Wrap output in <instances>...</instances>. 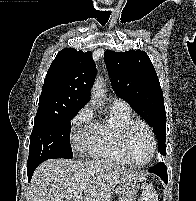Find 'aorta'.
<instances>
[{
  "instance_id": "obj_1",
  "label": "aorta",
  "mask_w": 196,
  "mask_h": 201,
  "mask_svg": "<svg viewBox=\"0 0 196 201\" xmlns=\"http://www.w3.org/2000/svg\"><path fill=\"white\" fill-rule=\"evenodd\" d=\"M102 81L103 80L101 78H98L93 86L92 98L95 102H100L101 98L103 97L104 91L102 88Z\"/></svg>"
}]
</instances>
